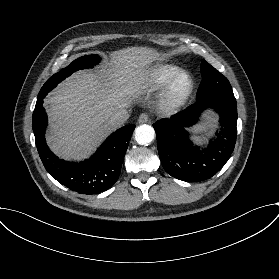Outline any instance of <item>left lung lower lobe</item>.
<instances>
[{
  "mask_svg": "<svg viewBox=\"0 0 279 279\" xmlns=\"http://www.w3.org/2000/svg\"><path fill=\"white\" fill-rule=\"evenodd\" d=\"M220 115V129L207 148L195 146L186 127L194 125L206 108ZM237 104L222 98L196 101L187 109L161 119L153 126L157 135L158 152L165 171L171 176L198 182L211 178L226 164L234 150L237 136Z\"/></svg>",
  "mask_w": 279,
  "mask_h": 279,
  "instance_id": "obj_1",
  "label": "left lung lower lobe"
}]
</instances>
